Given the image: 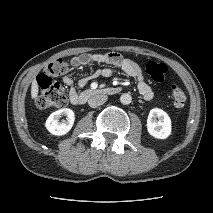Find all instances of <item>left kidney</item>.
Masks as SVG:
<instances>
[{"mask_svg": "<svg viewBox=\"0 0 213 213\" xmlns=\"http://www.w3.org/2000/svg\"><path fill=\"white\" fill-rule=\"evenodd\" d=\"M147 130L154 138L166 139L172 132L170 117L162 109H151L147 119Z\"/></svg>", "mask_w": 213, "mask_h": 213, "instance_id": "left-kidney-1", "label": "left kidney"}]
</instances>
